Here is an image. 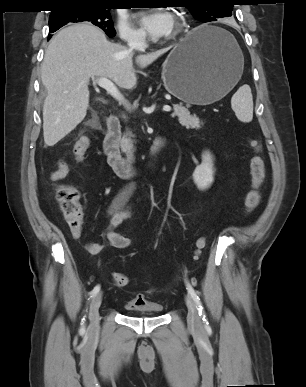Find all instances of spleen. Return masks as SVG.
<instances>
[{
	"label": "spleen",
	"instance_id": "obj_1",
	"mask_svg": "<svg viewBox=\"0 0 306 387\" xmlns=\"http://www.w3.org/2000/svg\"><path fill=\"white\" fill-rule=\"evenodd\" d=\"M231 107L241 122L253 119V97L249 85L241 86L231 98Z\"/></svg>",
	"mask_w": 306,
	"mask_h": 387
}]
</instances>
